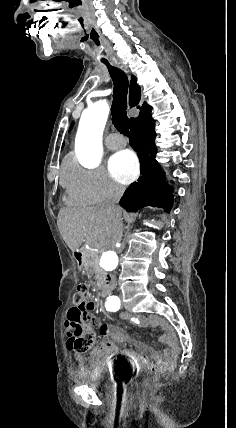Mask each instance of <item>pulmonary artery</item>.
<instances>
[{
    "label": "pulmonary artery",
    "mask_w": 236,
    "mask_h": 428,
    "mask_svg": "<svg viewBox=\"0 0 236 428\" xmlns=\"http://www.w3.org/2000/svg\"><path fill=\"white\" fill-rule=\"evenodd\" d=\"M107 145L110 149L117 150V149L123 148L126 145V141H123L121 143H113V142H110V140H108Z\"/></svg>",
    "instance_id": "1"
}]
</instances>
